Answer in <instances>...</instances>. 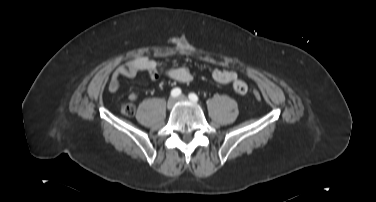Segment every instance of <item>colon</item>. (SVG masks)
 Returning a JSON list of instances; mask_svg holds the SVG:
<instances>
[{
  "mask_svg": "<svg viewBox=\"0 0 376 202\" xmlns=\"http://www.w3.org/2000/svg\"><path fill=\"white\" fill-rule=\"evenodd\" d=\"M254 96L257 100H260L261 99V95L259 92H255L254 93ZM121 111L124 115L126 116H131L134 114L135 112V107H134V104L132 102H126L122 105L121 107Z\"/></svg>",
  "mask_w": 376,
  "mask_h": 202,
  "instance_id": "colon-1",
  "label": "colon"
}]
</instances>
